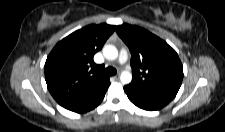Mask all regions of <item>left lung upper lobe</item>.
Wrapping results in <instances>:
<instances>
[{"instance_id": "obj_1", "label": "left lung upper lobe", "mask_w": 225, "mask_h": 132, "mask_svg": "<svg viewBox=\"0 0 225 132\" xmlns=\"http://www.w3.org/2000/svg\"><path fill=\"white\" fill-rule=\"evenodd\" d=\"M116 32L131 52L133 90L174 98L181 86L183 67L176 51L149 31L129 24Z\"/></svg>"}]
</instances>
